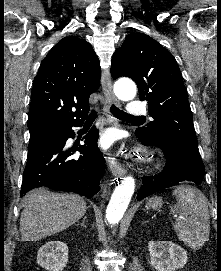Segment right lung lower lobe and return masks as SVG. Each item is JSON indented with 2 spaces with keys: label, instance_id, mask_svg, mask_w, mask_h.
Here are the masks:
<instances>
[{
  "label": "right lung lower lobe",
  "instance_id": "98d812e1",
  "mask_svg": "<svg viewBox=\"0 0 221 271\" xmlns=\"http://www.w3.org/2000/svg\"><path fill=\"white\" fill-rule=\"evenodd\" d=\"M83 120L64 126L63 133L56 139L28 149L20 196L42 186L86 197H92L100 190L105 159L97 147L99 135L96 128L93 127L84 137L85 144L77 149L82 154L79 157L72 158V150L64 149L67 139L75 137L72 127L81 126Z\"/></svg>",
  "mask_w": 221,
  "mask_h": 271
}]
</instances>
